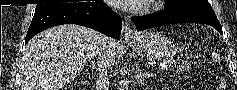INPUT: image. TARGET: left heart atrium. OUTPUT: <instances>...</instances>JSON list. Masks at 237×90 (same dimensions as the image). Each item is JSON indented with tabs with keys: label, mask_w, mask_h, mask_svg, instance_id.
Masks as SVG:
<instances>
[{
	"label": "left heart atrium",
	"mask_w": 237,
	"mask_h": 90,
	"mask_svg": "<svg viewBox=\"0 0 237 90\" xmlns=\"http://www.w3.org/2000/svg\"><path fill=\"white\" fill-rule=\"evenodd\" d=\"M143 3H152V0H112V7H122V10H138Z\"/></svg>",
	"instance_id": "left-heart-atrium-1"
}]
</instances>
